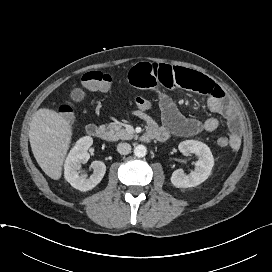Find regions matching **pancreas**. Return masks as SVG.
<instances>
[{"mask_svg": "<svg viewBox=\"0 0 272 272\" xmlns=\"http://www.w3.org/2000/svg\"><path fill=\"white\" fill-rule=\"evenodd\" d=\"M107 139L110 141L130 140L134 135L128 133L120 124L111 123L107 126Z\"/></svg>", "mask_w": 272, "mask_h": 272, "instance_id": "pancreas-1", "label": "pancreas"}]
</instances>
